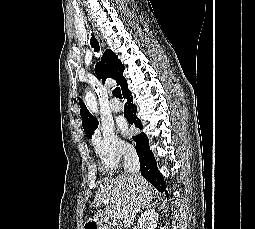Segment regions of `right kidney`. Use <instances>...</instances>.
<instances>
[{"instance_id":"ca27d5eb","label":"right kidney","mask_w":255,"mask_h":229,"mask_svg":"<svg viewBox=\"0 0 255 229\" xmlns=\"http://www.w3.org/2000/svg\"><path fill=\"white\" fill-rule=\"evenodd\" d=\"M158 213L154 209L146 210L138 219L139 229H155L158 222Z\"/></svg>"}]
</instances>
